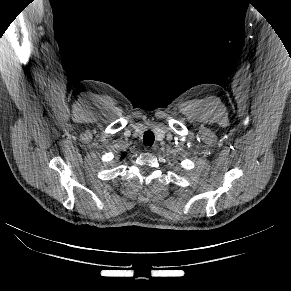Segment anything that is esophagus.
Returning <instances> with one entry per match:
<instances>
[{
    "label": "esophagus",
    "instance_id": "esophagus-1",
    "mask_svg": "<svg viewBox=\"0 0 291 291\" xmlns=\"http://www.w3.org/2000/svg\"><path fill=\"white\" fill-rule=\"evenodd\" d=\"M154 149H155V147H151V148L148 147L146 150L149 151V152H151V151H153Z\"/></svg>",
    "mask_w": 291,
    "mask_h": 291
}]
</instances>
